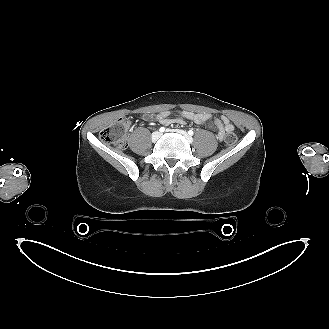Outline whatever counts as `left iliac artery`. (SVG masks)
<instances>
[{"instance_id": "44dca946", "label": "left iliac artery", "mask_w": 329, "mask_h": 329, "mask_svg": "<svg viewBox=\"0 0 329 329\" xmlns=\"http://www.w3.org/2000/svg\"><path fill=\"white\" fill-rule=\"evenodd\" d=\"M188 134L192 136L194 134L193 130H189Z\"/></svg>"}]
</instances>
